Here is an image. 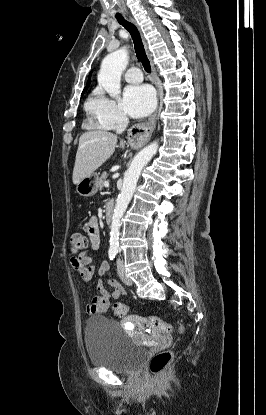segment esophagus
Instances as JSON below:
<instances>
[{"mask_svg":"<svg viewBox=\"0 0 266 415\" xmlns=\"http://www.w3.org/2000/svg\"><path fill=\"white\" fill-rule=\"evenodd\" d=\"M130 22H132L138 29V24L135 19L131 16H128ZM144 47L147 53V56L151 63L152 69V81L157 89V107L151 117L144 123H139L132 126L128 132V140L132 146H141L144 145L150 138L156 127L157 113H158V104H159V85L157 82V75L155 65L152 60V55L148 49V45L143 38Z\"/></svg>","mask_w":266,"mask_h":415,"instance_id":"1","label":"esophagus"}]
</instances>
